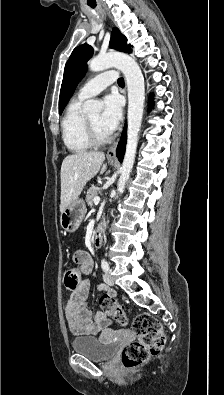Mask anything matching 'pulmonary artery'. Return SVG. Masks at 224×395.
Wrapping results in <instances>:
<instances>
[{
  "mask_svg": "<svg viewBox=\"0 0 224 395\" xmlns=\"http://www.w3.org/2000/svg\"><path fill=\"white\" fill-rule=\"evenodd\" d=\"M116 72L109 70L103 72L94 78L88 80L79 90L78 97L81 99H88L98 95L105 88L116 81Z\"/></svg>",
  "mask_w": 224,
  "mask_h": 395,
  "instance_id": "e3ab8cb5",
  "label": "pulmonary artery"
}]
</instances>
